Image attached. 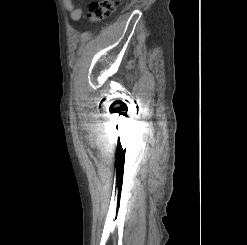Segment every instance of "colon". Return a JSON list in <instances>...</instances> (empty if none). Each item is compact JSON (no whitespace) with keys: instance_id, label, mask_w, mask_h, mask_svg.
<instances>
[{"instance_id":"1","label":"colon","mask_w":247,"mask_h":245,"mask_svg":"<svg viewBox=\"0 0 247 245\" xmlns=\"http://www.w3.org/2000/svg\"><path fill=\"white\" fill-rule=\"evenodd\" d=\"M119 0H96L89 5L87 16L91 22H99L110 17Z\"/></svg>"}]
</instances>
